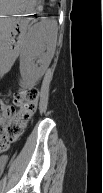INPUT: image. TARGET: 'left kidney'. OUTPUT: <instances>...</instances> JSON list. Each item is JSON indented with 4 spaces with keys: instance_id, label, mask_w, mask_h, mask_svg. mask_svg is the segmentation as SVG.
Wrapping results in <instances>:
<instances>
[{
    "instance_id": "5707ae66",
    "label": "left kidney",
    "mask_w": 103,
    "mask_h": 193,
    "mask_svg": "<svg viewBox=\"0 0 103 193\" xmlns=\"http://www.w3.org/2000/svg\"><path fill=\"white\" fill-rule=\"evenodd\" d=\"M56 34L57 27L54 21H42L37 25L32 39L20 55L22 77L33 83L44 74L52 58Z\"/></svg>"
}]
</instances>
